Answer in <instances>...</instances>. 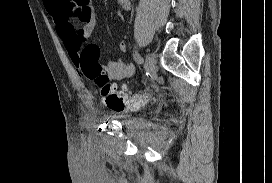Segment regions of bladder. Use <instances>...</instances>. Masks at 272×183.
Here are the masks:
<instances>
[{"label":"bladder","mask_w":272,"mask_h":183,"mask_svg":"<svg viewBox=\"0 0 272 183\" xmlns=\"http://www.w3.org/2000/svg\"><path fill=\"white\" fill-rule=\"evenodd\" d=\"M111 119L113 121L121 122L124 125H130L133 123V119L131 117H129L128 115H125V114H120V113L114 114L111 117Z\"/></svg>","instance_id":"bladder-1"}]
</instances>
